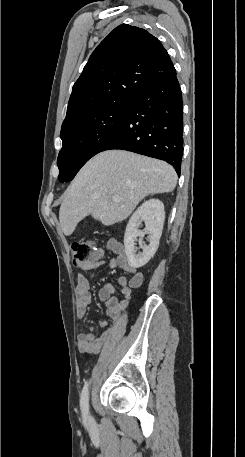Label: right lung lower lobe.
<instances>
[{
    "mask_svg": "<svg viewBox=\"0 0 245 457\" xmlns=\"http://www.w3.org/2000/svg\"><path fill=\"white\" fill-rule=\"evenodd\" d=\"M123 149L165 160L180 176L183 101L176 73L146 86L101 151Z\"/></svg>",
    "mask_w": 245,
    "mask_h": 457,
    "instance_id": "right-lung-lower-lobe-1",
    "label": "right lung lower lobe"
}]
</instances>
